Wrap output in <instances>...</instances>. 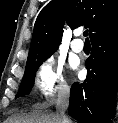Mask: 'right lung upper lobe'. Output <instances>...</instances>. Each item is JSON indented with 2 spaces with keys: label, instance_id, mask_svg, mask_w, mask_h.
I'll return each mask as SVG.
<instances>
[{
  "label": "right lung upper lobe",
  "instance_id": "right-lung-upper-lobe-1",
  "mask_svg": "<svg viewBox=\"0 0 118 123\" xmlns=\"http://www.w3.org/2000/svg\"><path fill=\"white\" fill-rule=\"evenodd\" d=\"M90 29V40L118 29L117 0H53L39 13L32 36L26 69L52 55L61 42L64 24Z\"/></svg>",
  "mask_w": 118,
  "mask_h": 123
}]
</instances>
